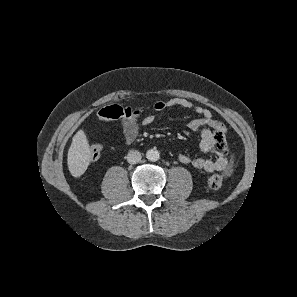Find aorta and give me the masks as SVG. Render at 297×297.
Here are the masks:
<instances>
[{"mask_svg":"<svg viewBox=\"0 0 297 297\" xmlns=\"http://www.w3.org/2000/svg\"><path fill=\"white\" fill-rule=\"evenodd\" d=\"M146 158L149 160V161H152V162H155L157 160H159L160 158V153L158 152L157 149H149L146 153Z\"/></svg>","mask_w":297,"mask_h":297,"instance_id":"762f6f07","label":"aorta"}]
</instances>
